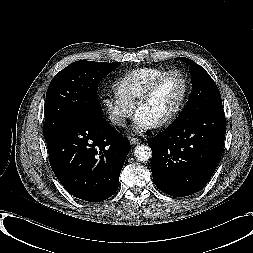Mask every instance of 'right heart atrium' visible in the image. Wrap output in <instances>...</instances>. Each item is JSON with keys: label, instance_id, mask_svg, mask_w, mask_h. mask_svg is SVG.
Listing matches in <instances>:
<instances>
[{"label": "right heart atrium", "instance_id": "right-heart-atrium-1", "mask_svg": "<svg viewBox=\"0 0 253 253\" xmlns=\"http://www.w3.org/2000/svg\"><path fill=\"white\" fill-rule=\"evenodd\" d=\"M102 106L108 120L117 127H124L132 116L134 106L126 102L116 92L102 99Z\"/></svg>", "mask_w": 253, "mask_h": 253}]
</instances>
